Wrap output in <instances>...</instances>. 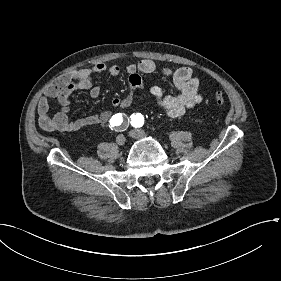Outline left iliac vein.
<instances>
[{"mask_svg":"<svg viewBox=\"0 0 281 281\" xmlns=\"http://www.w3.org/2000/svg\"><path fill=\"white\" fill-rule=\"evenodd\" d=\"M129 135L132 137V138H135V139H141V138H145L147 137V133H145L143 130L141 129H134V130H131L129 132Z\"/></svg>","mask_w":281,"mask_h":281,"instance_id":"left-iliac-vein-1","label":"left iliac vein"}]
</instances>
